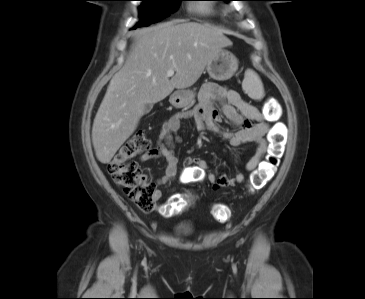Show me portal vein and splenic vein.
Listing matches in <instances>:
<instances>
[{"instance_id":"1","label":"portal vein and splenic vein","mask_w":365,"mask_h":299,"mask_svg":"<svg viewBox=\"0 0 365 299\" xmlns=\"http://www.w3.org/2000/svg\"><path fill=\"white\" fill-rule=\"evenodd\" d=\"M166 75L168 77H172L174 75V70H168L167 73H166Z\"/></svg>"}]
</instances>
